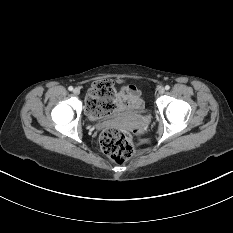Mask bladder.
<instances>
[{"label":"bladder","mask_w":233,"mask_h":233,"mask_svg":"<svg viewBox=\"0 0 233 233\" xmlns=\"http://www.w3.org/2000/svg\"><path fill=\"white\" fill-rule=\"evenodd\" d=\"M138 111L139 112H143L144 111V107L142 106V107L138 108Z\"/></svg>","instance_id":"31cf9c89"}]
</instances>
